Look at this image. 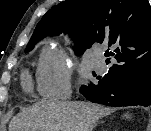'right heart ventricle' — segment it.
I'll return each instance as SVG.
<instances>
[{
  "label": "right heart ventricle",
  "instance_id": "e07e8e85",
  "mask_svg": "<svg viewBox=\"0 0 151 131\" xmlns=\"http://www.w3.org/2000/svg\"><path fill=\"white\" fill-rule=\"evenodd\" d=\"M25 86L28 88L29 87V84H28V80L25 79Z\"/></svg>",
  "mask_w": 151,
  "mask_h": 131
}]
</instances>
